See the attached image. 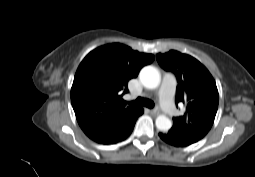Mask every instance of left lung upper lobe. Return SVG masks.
<instances>
[{"label":"left lung upper lobe","instance_id":"left-lung-upper-lobe-1","mask_svg":"<svg viewBox=\"0 0 255 177\" xmlns=\"http://www.w3.org/2000/svg\"><path fill=\"white\" fill-rule=\"evenodd\" d=\"M156 58L164 70L177 77L176 105H186L184 115L173 118L171 129L197 141L202 139L218 109L219 95L212 75L198 60L178 51L158 53Z\"/></svg>","mask_w":255,"mask_h":177}]
</instances>
